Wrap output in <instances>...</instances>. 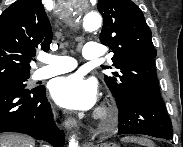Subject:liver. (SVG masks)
Listing matches in <instances>:
<instances>
[{
  "mask_svg": "<svg viewBox=\"0 0 183 147\" xmlns=\"http://www.w3.org/2000/svg\"><path fill=\"white\" fill-rule=\"evenodd\" d=\"M0 147H35V143L27 136L5 133L0 135Z\"/></svg>",
  "mask_w": 183,
  "mask_h": 147,
  "instance_id": "6515ba94",
  "label": "liver"
}]
</instances>
